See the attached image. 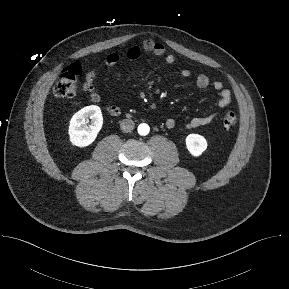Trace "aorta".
I'll return each mask as SVG.
<instances>
[{
	"mask_svg": "<svg viewBox=\"0 0 289 289\" xmlns=\"http://www.w3.org/2000/svg\"><path fill=\"white\" fill-rule=\"evenodd\" d=\"M149 130H150L149 126L145 123L140 124L138 126V133L142 136L147 135L149 133Z\"/></svg>",
	"mask_w": 289,
	"mask_h": 289,
	"instance_id": "aorta-1",
	"label": "aorta"
}]
</instances>
